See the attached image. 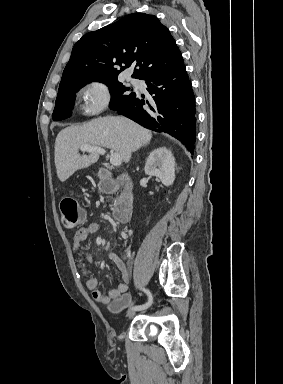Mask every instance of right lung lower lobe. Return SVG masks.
<instances>
[{
	"label": "right lung lower lobe",
	"mask_w": 283,
	"mask_h": 384,
	"mask_svg": "<svg viewBox=\"0 0 283 384\" xmlns=\"http://www.w3.org/2000/svg\"><path fill=\"white\" fill-rule=\"evenodd\" d=\"M145 81L147 91L153 94L149 101L135 95L111 109L145 128L172 135L193 154L196 134L195 97L185 65Z\"/></svg>",
	"instance_id": "1"
}]
</instances>
